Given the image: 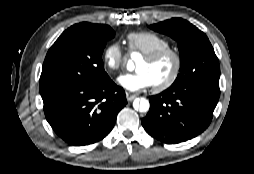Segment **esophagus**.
Here are the masks:
<instances>
[{"instance_id":"34e87169","label":"esophagus","mask_w":254,"mask_h":174,"mask_svg":"<svg viewBox=\"0 0 254 174\" xmlns=\"http://www.w3.org/2000/svg\"><path fill=\"white\" fill-rule=\"evenodd\" d=\"M126 98H127L128 101H132V100H134L136 98V94L127 92L126 93Z\"/></svg>"}]
</instances>
